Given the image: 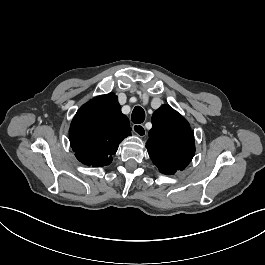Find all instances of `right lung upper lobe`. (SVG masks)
<instances>
[{
	"label": "right lung upper lobe",
	"instance_id": "cb5924a9",
	"mask_svg": "<svg viewBox=\"0 0 265 265\" xmlns=\"http://www.w3.org/2000/svg\"><path fill=\"white\" fill-rule=\"evenodd\" d=\"M130 135V122L121 113L113 93L97 96L84 104L74 116L69 130L70 145L76 158L92 167L109 165L118 145Z\"/></svg>",
	"mask_w": 265,
	"mask_h": 265
}]
</instances>
